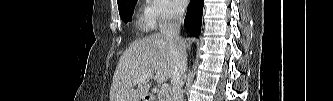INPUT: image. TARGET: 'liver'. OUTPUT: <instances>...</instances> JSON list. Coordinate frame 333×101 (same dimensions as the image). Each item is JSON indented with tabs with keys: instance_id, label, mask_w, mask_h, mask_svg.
<instances>
[{
	"instance_id": "6515ba94",
	"label": "liver",
	"mask_w": 333,
	"mask_h": 101,
	"mask_svg": "<svg viewBox=\"0 0 333 101\" xmlns=\"http://www.w3.org/2000/svg\"><path fill=\"white\" fill-rule=\"evenodd\" d=\"M174 64L171 49L161 33L134 41L118 62L110 101H141L150 88L148 80L138 83L141 77L155 72L157 81L164 82L172 77Z\"/></svg>"
}]
</instances>
